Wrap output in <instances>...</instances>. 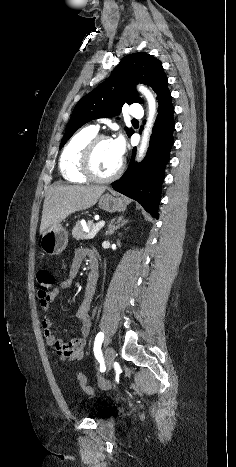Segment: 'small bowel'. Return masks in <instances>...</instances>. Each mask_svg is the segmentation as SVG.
<instances>
[{
	"label": "small bowel",
	"instance_id": "c3829d8e",
	"mask_svg": "<svg viewBox=\"0 0 236 467\" xmlns=\"http://www.w3.org/2000/svg\"><path fill=\"white\" fill-rule=\"evenodd\" d=\"M89 258L90 262H97L96 254L87 249L76 250L69 270V276L63 279L58 287L53 289L48 297L41 299L40 305L44 311V315L41 320L42 333L46 340L47 345L53 347L56 355L62 361H80L84 356V348L87 343V337L91 330V319L89 316V309L92 298L96 290L97 280H90L88 278L85 286L84 296L76 311V319L80 323V336L72 339L70 342L65 343L58 338L52 331V322L49 314L51 303L58 297L62 290L70 289L73 283L74 277L77 275L83 261Z\"/></svg>",
	"mask_w": 236,
	"mask_h": 467
}]
</instances>
